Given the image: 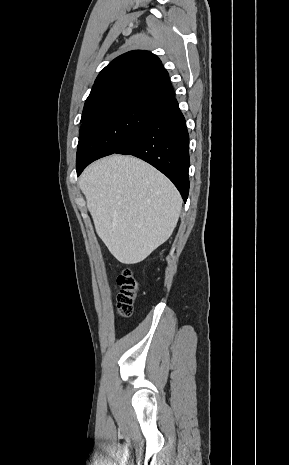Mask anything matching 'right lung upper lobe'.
Instances as JSON below:
<instances>
[{
    "mask_svg": "<svg viewBox=\"0 0 289 465\" xmlns=\"http://www.w3.org/2000/svg\"><path fill=\"white\" fill-rule=\"evenodd\" d=\"M174 97L169 74L160 59L148 51H130L99 73L85 101L81 121L116 103L145 101L163 105Z\"/></svg>",
    "mask_w": 289,
    "mask_h": 465,
    "instance_id": "cb5924a9",
    "label": "right lung upper lobe"
}]
</instances>
